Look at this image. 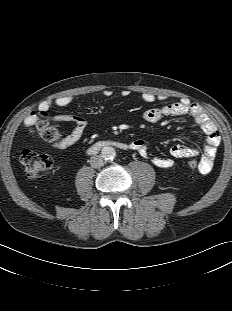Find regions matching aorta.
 Here are the masks:
<instances>
[{
    "mask_svg": "<svg viewBox=\"0 0 232 311\" xmlns=\"http://www.w3.org/2000/svg\"><path fill=\"white\" fill-rule=\"evenodd\" d=\"M101 156L106 162H112L116 159L117 154L113 147L106 146L102 149Z\"/></svg>",
    "mask_w": 232,
    "mask_h": 311,
    "instance_id": "1",
    "label": "aorta"
}]
</instances>
